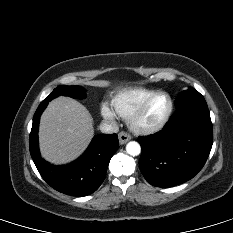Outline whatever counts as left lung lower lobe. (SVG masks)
Returning <instances> with one entry per match:
<instances>
[{"label":"left lung lower lobe","instance_id":"obj_1","mask_svg":"<svg viewBox=\"0 0 233 233\" xmlns=\"http://www.w3.org/2000/svg\"><path fill=\"white\" fill-rule=\"evenodd\" d=\"M140 170L154 186L166 188L193 178L204 166L213 143L206 103H189L176 109L164 128L138 138Z\"/></svg>","mask_w":233,"mask_h":233}]
</instances>
